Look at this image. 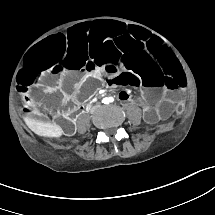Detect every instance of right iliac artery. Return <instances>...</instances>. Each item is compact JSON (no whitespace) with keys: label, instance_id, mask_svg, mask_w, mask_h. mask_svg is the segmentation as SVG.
<instances>
[{"label":"right iliac artery","instance_id":"obj_1","mask_svg":"<svg viewBox=\"0 0 215 215\" xmlns=\"http://www.w3.org/2000/svg\"><path fill=\"white\" fill-rule=\"evenodd\" d=\"M102 103L107 104L108 101H107L106 99H103V100H102Z\"/></svg>","mask_w":215,"mask_h":215}]
</instances>
